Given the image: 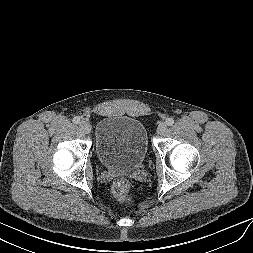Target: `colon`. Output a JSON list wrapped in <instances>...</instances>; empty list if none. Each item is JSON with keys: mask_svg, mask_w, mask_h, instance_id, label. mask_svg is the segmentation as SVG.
Masks as SVG:
<instances>
[{"mask_svg": "<svg viewBox=\"0 0 253 253\" xmlns=\"http://www.w3.org/2000/svg\"><path fill=\"white\" fill-rule=\"evenodd\" d=\"M112 194L123 203L132 201L131 181L127 178H119L115 180L111 187Z\"/></svg>", "mask_w": 253, "mask_h": 253, "instance_id": "1", "label": "colon"}]
</instances>
